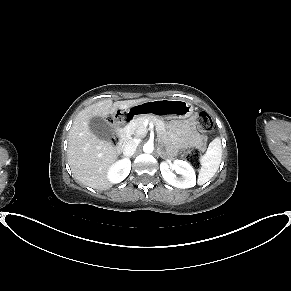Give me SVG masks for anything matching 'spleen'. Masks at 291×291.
Masks as SVG:
<instances>
[{"label":"spleen","instance_id":"spleen-1","mask_svg":"<svg viewBox=\"0 0 291 291\" xmlns=\"http://www.w3.org/2000/svg\"><path fill=\"white\" fill-rule=\"evenodd\" d=\"M222 158L221 139L215 138L208 146L206 154L201 157V169L198 176V184L203 185L217 172Z\"/></svg>","mask_w":291,"mask_h":291}]
</instances>
